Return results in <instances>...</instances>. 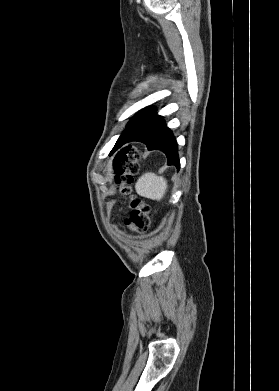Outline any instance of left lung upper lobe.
<instances>
[{"instance_id":"5c2ea615","label":"left lung upper lobe","mask_w":279,"mask_h":391,"mask_svg":"<svg viewBox=\"0 0 279 391\" xmlns=\"http://www.w3.org/2000/svg\"><path fill=\"white\" fill-rule=\"evenodd\" d=\"M162 119V116L156 115L153 108L145 109L137 113L131 121L127 124L125 131L119 137L114 149H118L122 139L128 135H136L144 132L152 127L158 121Z\"/></svg>"}]
</instances>
